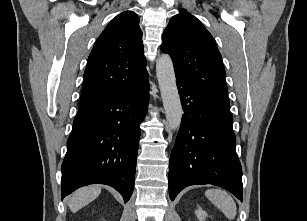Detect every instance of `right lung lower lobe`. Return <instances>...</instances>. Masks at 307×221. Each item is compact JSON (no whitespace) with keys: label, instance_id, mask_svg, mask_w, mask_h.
<instances>
[{"label":"right lung lower lobe","instance_id":"obj_1","mask_svg":"<svg viewBox=\"0 0 307 221\" xmlns=\"http://www.w3.org/2000/svg\"><path fill=\"white\" fill-rule=\"evenodd\" d=\"M149 83L79 109L67 141L61 171L62 199L79 187H114L127 202L134 189L135 167Z\"/></svg>","mask_w":307,"mask_h":221}]
</instances>
